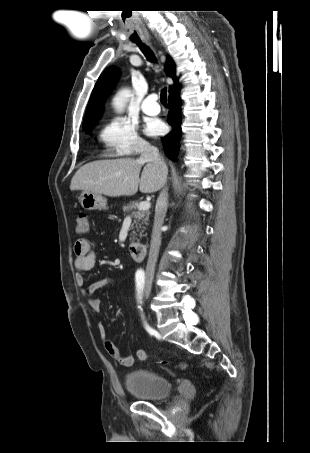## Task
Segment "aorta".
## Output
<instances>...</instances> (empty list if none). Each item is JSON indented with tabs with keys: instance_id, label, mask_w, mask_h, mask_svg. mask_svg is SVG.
<instances>
[{
	"instance_id": "aorta-1",
	"label": "aorta",
	"mask_w": 310,
	"mask_h": 453,
	"mask_svg": "<svg viewBox=\"0 0 310 453\" xmlns=\"http://www.w3.org/2000/svg\"><path fill=\"white\" fill-rule=\"evenodd\" d=\"M130 95L131 92L129 89H122L116 94L113 99V105L118 112H121L124 109Z\"/></svg>"
}]
</instances>
